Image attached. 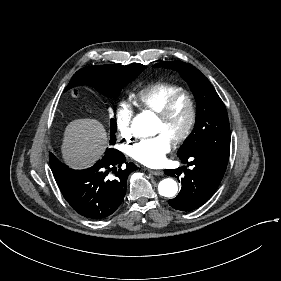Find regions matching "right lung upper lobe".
I'll return each mask as SVG.
<instances>
[{
	"label": "right lung upper lobe",
	"instance_id": "1",
	"mask_svg": "<svg viewBox=\"0 0 281 281\" xmlns=\"http://www.w3.org/2000/svg\"><path fill=\"white\" fill-rule=\"evenodd\" d=\"M95 67H98V68H105V69H111V70H118V69H121V68H123V67H125V66H122V65H100V66H95ZM83 84H85L84 82H83V80L81 79V77H80V71L79 72H76L74 75H73V77H72V79H71V81H70V83L68 84V86L66 87V89H65V91H67V90H69V89H71V88H73V87H76V86H79V85H83ZM87 85V84H86Z\"/></svg>",
	"mask_w": 281,
	"mask_h": 281
}]
</instances>
